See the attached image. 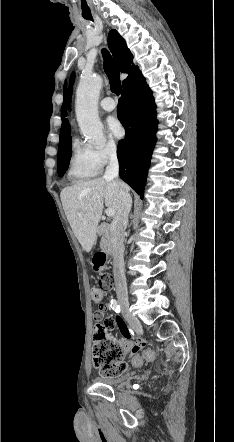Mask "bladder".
I'll use <instances>...</instances> for the list:
<instances>
[{
  "instance_id": "31cf9c89",
  "label": "bladder",
  "mask_w": 234,
  "mask_h": 442,
  "mask_svg": "<svg viewBox=\"0 0 234 442\" xmlns=\"http://www.w3.org/2000/svg\"><path fill=\"white\" fill-rule=\"evenodd\" d=\"M127 377L128 374H123L117 377H99L96 379V381L100 384L114 387L125 380Z\"/></svg>"
}]
</instances>
